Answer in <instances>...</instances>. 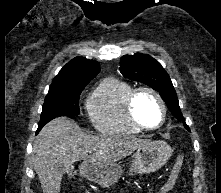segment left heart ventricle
<instances>
[{
  "mask_svg": "<svg viewBox=\"0 0 221 193\" xmlns=\"http://www.w3.org/2000/svg\"><path fill=\"white\" fill-rule=\"evenodd\" d=\"M134 114L139 122L148 127H155L161 120V108L154 96L141 93L134 104Z\"/></svg>",
  "mask_w": 221,
  "mask_h": 193,
  "instance_id": "b2bd125f",
  "label": "left heart ventricle"
}]
</instances>
